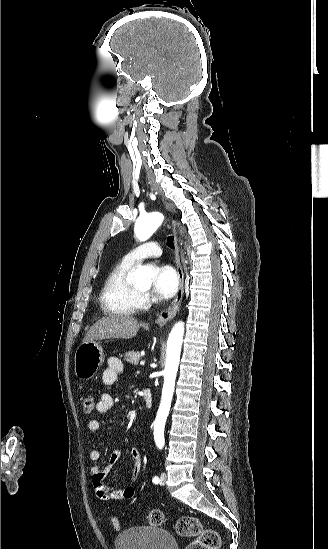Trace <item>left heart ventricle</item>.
Segmentation results:
<instances>
[{
  "instance_id": "left-heart-ventricle-1",
  "label": "left heart ventricle",
  "mask_w": 328,
  "mask_h": 549,
  "mask_svg": "<svg viewBox=\"0 0 328 549\" xmlns=\"http://www.w3.org/2000/svg\"><path fill=\"white\" fill-rule=\"evenodd\" d=\"M138 288H140L142 291H145L147 292L150 288V284L149 283H142V284H137L136 285Z\"/></svg>"
}]
</instances>
